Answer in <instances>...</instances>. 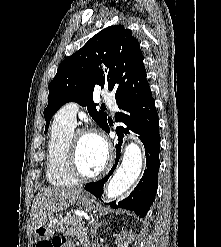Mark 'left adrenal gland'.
<instances>
[{
  "label": "left adrenal gland",
  "mask_w": 221,
  "mask_h": 247,
  "mask_svg": "<svg viewBox=\"0 0 221 247\" xmlns=\"http://www.w3.org/2000/svg\"><path fill=\"white\" fill-rule=\"evenodd\" d=\"M103 223L104 222H102V221L98 223L97 221H94V220H92L90 222V224H91L90 235H91V238L92 239L94 238V236L97 235V230H98L99 227L102 226Z\"/></svg>",
  "instance_id": "a2214340"
}]
</instances>
